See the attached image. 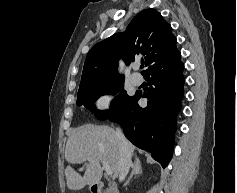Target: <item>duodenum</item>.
I'll return each instance as SVG.
<instances>
[{
	"label": "duodenum",
	"instance_id": "410a0bca",
	"mask_svg": "<svg viewBox=\"0 0 237 193\" xmlns=\"http://www.w3.org/2000/svg\"><path fill=\"white\" fill-rule=\"evenodd\" d=\"M104 189V184L102 182H96L92 185V193H101ZM112 193H117L115 190H113Z\"/></svg>",
	"mask_w": 237,
	"mask_h": 193
}]
</instances>
